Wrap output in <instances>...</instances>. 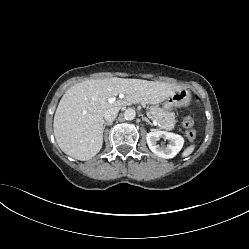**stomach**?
Segmentation results:
<instances>
[{
    "instance_id": "0dacf381",
    "label": "stomach",
    "mask_w": 249,
    "mask_h": 249,
    "mask_svg": "<svg viewBox=\"0 0 249 249\" xmlns=\"http://www.w3.org/2000/svg\"><path fill=\"white\" fill-rule=\"evenodd\" d=\"M176 95H177V94H173V95H172L170 98H168L167 101L163 104V109H164L165 111H170V110L174 107L175 103L177 102V98H178V97H176Z\"/></svg>"
}]
</instances>
